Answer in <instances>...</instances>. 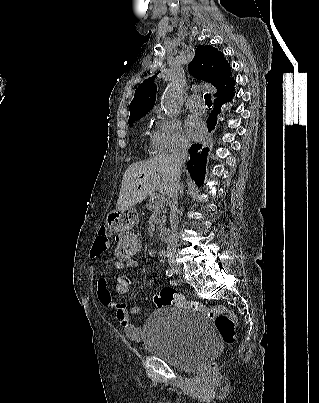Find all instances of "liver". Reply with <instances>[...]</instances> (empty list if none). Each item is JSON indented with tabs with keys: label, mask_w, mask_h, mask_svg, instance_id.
<instances>
[{
	"label": "liver",
	"mask_w": 319,
	"mask_h": 403,
	"mask_svg": "<svg viewBox=\"0 0 319 403\" xmlns=\"http://www.w3.org/2000/svg\"><path fill=\"white\" fill-rule=\"evenodd\" d=\"M174 176L175 168L169 154L131 164L123 175L116 209H129L157 190L169 195Z\"/></svg>",
	"instance_id": "1"
}]
</instances>
